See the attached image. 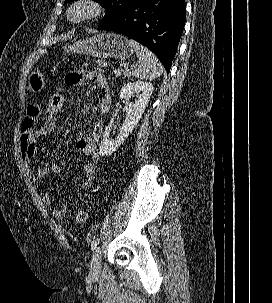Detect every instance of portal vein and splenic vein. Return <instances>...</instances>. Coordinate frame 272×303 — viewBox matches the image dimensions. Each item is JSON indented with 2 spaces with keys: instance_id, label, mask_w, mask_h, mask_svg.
Returning a JSON list of instances; mask_svg holds the SVG:
<instances>
[{
  "instance_id": "1",
  "label": "portal vein and splenic vein",
  "mask_w": 272,
  "mask_h": 303,
  "mask_svg": "<svg viewBox=\"0 0 272 303\" xmlns=\"http://www.w3.org/2000/svg\"><path fill=\"white\" fill-rule=\"evenodd\" d=\"M124 68H125V69H128V64H124Z\"/></svg>"
}]
</instances>
